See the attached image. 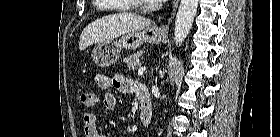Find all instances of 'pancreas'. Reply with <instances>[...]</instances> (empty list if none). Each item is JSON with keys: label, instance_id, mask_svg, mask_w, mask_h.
<instances>
[{"label": "pancreas", "instance_id": "obj_1", "mask_svg": "<svg viewBox=\"0 0 280 137\" xmlns=\"http://www.w3.org/2000/svg\"><path fill=\"white\" fill-rule=\"evenodd\" d=\"M142 55L141 52L130 55L124 59V62L127 64L129 71H135L140 67L139 57Z\"/></svg>", "mask_w": 280, "mask_h": 137}]
</instances>
